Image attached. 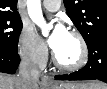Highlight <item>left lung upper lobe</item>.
<instances>
[{
    "instance_id": "left-lung-upper-lobe-1",
    "label": "left lung upper lobe",
    "mask_w": 107,
    "mask_h": 89,
    "mask_svg": "<svg viewBox=\"0 0 107 89\" xmlns=\"http://www.w3.org/2000/svg\"><path fill=\"white\" fill-rule=\"evenodd\" d=\"M66 12L87 44L107 34V0H63Z\"/></svg>"
}]
</instances>
